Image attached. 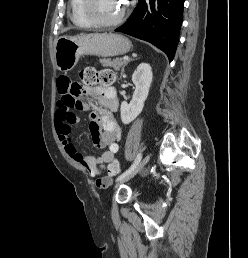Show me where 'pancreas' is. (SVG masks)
Wrapping results in <instances>:
<instances>
[{"label":"pancreas","instance_id":"pancreas-1","mask_svg":"<svg viewBox=\"0 0 248 258\" xmlns=\"http://www.w3.org/2000/svg\"><path fill=\"white\" fill-rule=\"evenodd\" d=\"M100 63L103 67H112L115 71H118L120 68H123L127 64V61L121 58H116L113 60L100 59Z\"/></svg>","mask_w":248,"mask_h":258}]
</instances>
